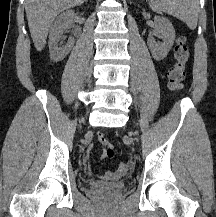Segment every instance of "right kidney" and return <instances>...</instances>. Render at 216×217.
Segmentation results:
<instances>
[{
  "instance_id": "obj_1",
  "label": "right kidney",
  "mask_w": 216,
  "mask_h": 217,
  "mask_svg": "<svg viewBox=\"0 0 216 217\" xmlns=\"http://www.w3.org/2000/svg\"><path fill=\"white\" fill-rule=\"evenodd\" d=\"M74 19V11L69 10L59 15L51 26L49 35V51L51 59L55 62L63 60L72 49L75 42L73 37H69L66 45L61 48L58 47V42L62 37V33L73 26Z\"/></svg>"
}]
</instances>
